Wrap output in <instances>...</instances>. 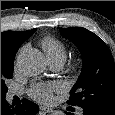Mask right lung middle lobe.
Masks as SVG:
<instances>
[{
    "label": "right lung middle lobe",
    "instance_id": "1",
    "mask_svg": "<svg viewBox=\"0 0 115 115\" xmlns=\"http://www.w3.org/2000/svg\"><path fill=\"white\" fill-rule=\"evenodd\" d=\"M13 68H1V99L5 98L7 86L5 80L12 77Z\"/></svg>",
    "mask_w": 115,
    "mask_h": 115
}]
</instances>
